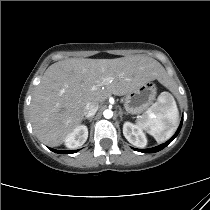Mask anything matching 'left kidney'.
Returning <instances> with one entry per match:
<instances>
[{
    "label": "left kidney",
    "mask_w": 210,
    "mask_h": 210,
    "mask_svg": "<svg viewBox=\"0 0 210 210\" xmlns=\"http://www.w3.org/2000/svg\"><path fill=\"white\" fill-rule=\"evenodd\" d=\"M123 134L128 142L136 147L143 148L147 145V138L138 125L125 122L123 125Z\"/></svg>",
    "instance_id": "5707ae66"
}]
</instances>
